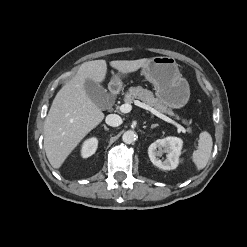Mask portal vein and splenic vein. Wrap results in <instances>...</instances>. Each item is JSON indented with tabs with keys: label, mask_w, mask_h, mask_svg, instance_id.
Here are the masks:
<instances>
[{
	"label": "portal vein and splenic vein",
	"mask_w": 247,
	"mask_h": 247,
	"mask_svg": "<svg viewBox=\"0 0 247 247\" xmlns=\"http://www.w3.org/2000/svg\"><path fill=\"white\" fill-rule=\"evenodd\" d=\"M134 103H135V105H137V106H139V107H141V108H143L145 110L150 111L153 115L159 117L160 119H162V120H164V121H166L168 123L173 124L174 126L177 127V129L179 131H182L183 133L186 132V129L182 125H180L176 121L172 120L171 118L167 117L166 115L162 114L161 112L157 111L156 109L150 107L149 105H147L145 103H142V102H140L138 100H135ZM119 109H120V111L122 113H128V112L131 111L132 106L130 104H128V103H125V104H122Z\"/></svg>",
	"instance_id": "obj_1"
}]
</instances>
